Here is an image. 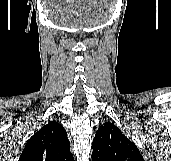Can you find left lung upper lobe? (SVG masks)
<instances>
[{
	"label": "left lung upper lobe",
	"instance_id": "obj_1",
	"mask_svg": "<svg viewBox=\"0 0 171 161\" xmlns=\"http://www.w3.org/2000/svg\"><path fill=\"white\" fill-rule=\"evenodd\" d=\"M92 148L93 161H144L136 145L111 122L99 127Z\"/></svg>",
	"mask_w": 171,
	"mask_h": 161
}]
</instances>
